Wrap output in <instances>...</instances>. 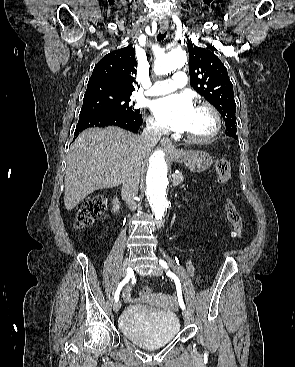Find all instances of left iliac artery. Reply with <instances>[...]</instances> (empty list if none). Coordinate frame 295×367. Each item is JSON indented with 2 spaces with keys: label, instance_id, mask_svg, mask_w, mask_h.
I'll return each instance as SVG.
<instances>
[{
  "label": "left iliac artery",
  "instance_id": "1",
  "mask_svg": "<svg viewBox=\"0 0 295 367\" xmlns=\"http://www.w3.org/2000/svg\"><path fill=\"white\" fill-rule=\"evenodd\" d=\"M159 264L163 267V269H165L166 274L174 280L177 289L178 302L180 307L184 310L185 304L182 298L181 284L179 278L168 269V264L166 263V261L160 259Z\"/></svg>",
  "mask_w": 295,
  "mask_h": 367
}]
</instances>
